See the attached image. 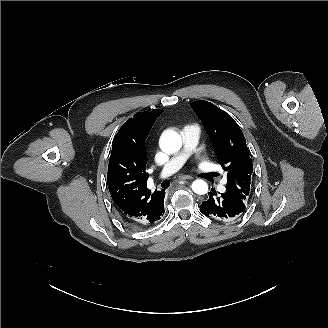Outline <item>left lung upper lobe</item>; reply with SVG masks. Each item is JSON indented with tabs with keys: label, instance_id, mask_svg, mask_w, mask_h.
Here are the masks:
<instances>
[{
	"label": "left lung upper lobe",
	"instance_id": "1",
	"mask_svg": "<svg viewBox=\"0 0 328 328\" xmlns=\"http://www.w3.org/2000/svg\"><path fill=\"white\" fill-rule=\"evenodd\" d=\"M191 107L208 131L219 163L227 172L225 193L245 202L253 165L240 127L228 113L208 101L192 102Z\"/></svg>",
	"mask_w": 328,
	"mask_h": 328
}]
</instances>
